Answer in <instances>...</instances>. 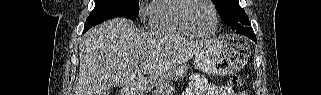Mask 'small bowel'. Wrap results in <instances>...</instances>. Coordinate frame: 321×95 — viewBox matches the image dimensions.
<instances>
[{
  "instance_id": "small-bowel-1",
  "label": "small bowel",
  "mask_w": 321,
  "mask_h": 95,
  "mask_svg": "<svg viewBox=\"0 0 321 95\" xmlns=\"http://www.w3.org/2000/svg\"><path fill=\"white\" fill-rule=\"evenodd\" d=\"M187 95H231V93L230 90L225 86L207 83L204 85L203 93L189 92Z\"/></svg>"
}]
</instances>
